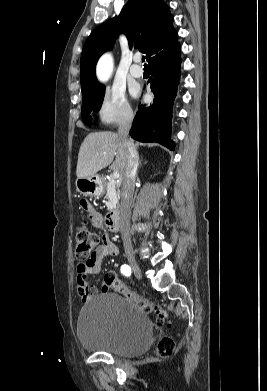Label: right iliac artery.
Segmentation results:
<instances>
[{"instance_id":"82829eb1","label":"right iliac artery","mask_w":267,"mask_h":391,"mask_svg":"<svg viewBox=\"0 0 267 391\" xmlns=\"http://www.w3.org/2000/svg\"><path fill=\"white\" fill-rule=\"evenodd\" d=\"M121 273L124 274L125 276H130L131 274V269L128 265H122L121 266Z\"/></svg>"}]
</instances>
